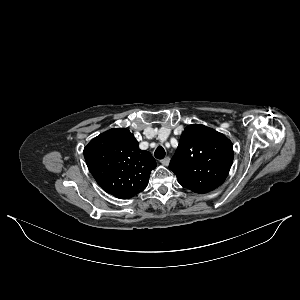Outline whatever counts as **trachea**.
<instances>
[{"mask_svg": "<svg viewBox=\"0 0 300 300\" xmlns=\"http://www.w3.org/2000/svg\"><path fill=\"white\" fill-rule=\"evenodd\" d=\"M154 156L157 159H163L165 157V150L162 146H158L157 149L154 152Z\"/></svg>", "mask_w": 300, "mask_h": 300, "instance_id": "1", "label": "trachea"}]
</instances>
